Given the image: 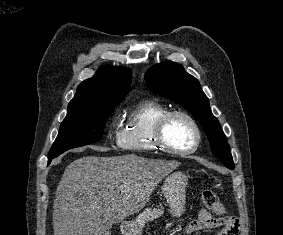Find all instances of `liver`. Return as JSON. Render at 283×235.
Masks as SVG:
<instances>
[{
  "label": "liver",
  "mask_w": 283,
  "mask_h": 235,
  "mask_svg": "<svg viewBox=\"0 0 283 235\" xmlns=\"http://www.w3.org/2000/svg\"><path fill=\"white\" fill-rule=\"evenodd\" d=\"M180 165L135 154L74 160L56 190L54 235H111L113 224L139 212L161 180Z\"/></svg>",
  "instance_id": "1"
}]
</instances>
